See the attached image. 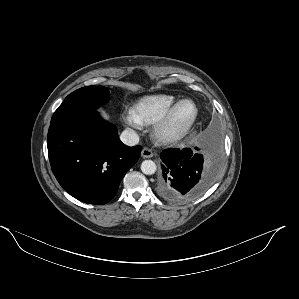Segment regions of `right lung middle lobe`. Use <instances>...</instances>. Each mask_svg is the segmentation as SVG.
<instances>
[{
	"label": "right lung middle lobe",
	"instance_id": "obj_1",
	"mask_svg": "<svg viewBox=\"0 0 299 299\" xmlns=\"http://www.w3.org/2000/svg\"><path fill=\"white\" fill-rule=\"evenodd\" d=\"M108 88L87 86L69 94L52 116L51 121L82 109H96L109 100Z\"/></svg>",
	"mask_w": 299,
	"mask_h": 299
}]
</instances>
